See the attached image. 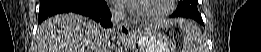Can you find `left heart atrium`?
<instances>
[{
	"label": "left heart atrium",
	"instance_id": "left-heart-atrium-1",
	"mask_svg": "<svg viewBox=\"0 0 261 52\" xmlns=\"http://www.w3.org/2000/svg\"><path fill=\"white\" fill-rule=\"evenodd\" d=\"M119 4L126 5L128 7H132L134 4H137L139 1L136 0H117Z\"/></svg>",
	"mask_w": 261,
	"mask_h": 52
}]
</instances>
